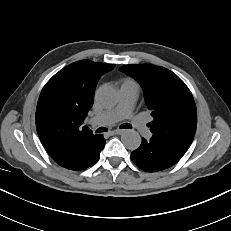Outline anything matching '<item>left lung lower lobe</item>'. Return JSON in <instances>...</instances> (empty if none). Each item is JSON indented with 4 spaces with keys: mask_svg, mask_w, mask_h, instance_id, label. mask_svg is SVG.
<instances>
[{
    "mask_svg": "<svg viewBox=\"0 0 231 231\" xmlns=\"http://www.w3.org/2000/svg\"><path fill=\"white\" fill-rule=\"evenodd\" d=\"M188 150L173 139L163 138L156 134L132 152L131 159L140 169L146 172H157L177 163Z\"/></svg>",
    "mask_w": 231,
    "mask_h": 231,
    "instance_id": "obj_1",
    "label": "left lung lower lobe"
}]
</instances>
